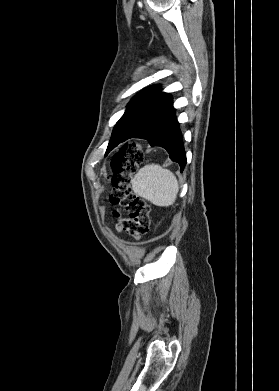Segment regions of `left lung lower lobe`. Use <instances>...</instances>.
I'll use <instances>...</instances> for the list:
<instances>
[{
	"label": "left lung lower lobe",
	"instance_id": "obj_1",
	"mask_svg": "<svg viewBox=\"0 0 279 391\" xmlns=\"http://www.w3.org/2000/svg\"><path fill=\"white\" fill-rule=\"evenodd\" d=\"M134 137L146 139L151 146H160L166 149L171 160L177 162L181 172L183 171L186 165V153L174 108H171L145 130L136 135H128L123 141Z\"/></svg>",
	"mask_w": 279,
	"mask_h": 391
}]
</instances>
